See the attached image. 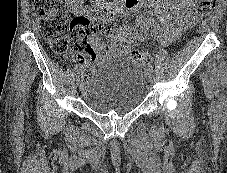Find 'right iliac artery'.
Instances as JSON below:
<instances>
[{"label":"right iliac artery","mask_w":227,"mask_h":173,"mask_svg":"<svg viewBox=\"0 0 227 173\" xmlns=\"http://www.w3.org/2000/svg\"><path fill=\"white\" fill-rule=\"evenodd\" d=\"M82 66L81 65H76L75 68H74V73H79L80 70H81Z\"/></svg>","instance_id":"82829eb1"}]
</instances>
